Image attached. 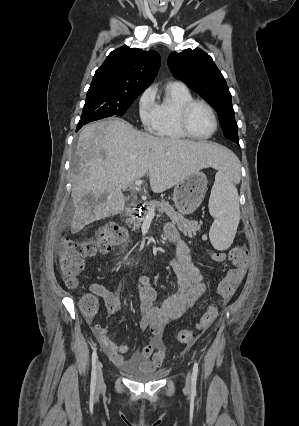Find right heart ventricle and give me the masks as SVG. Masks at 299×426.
Returning a JSON list of instances; mask_svg holds the SVG:
<instances>
[{"label": "right heart ventricle", "instance_id": "e07e8e85", "mask_svg": "<svg viewBox=\"0 0 299 426\" xmlns=\"http://www.w3.org/2000/svg\"><path fill=\"white\" fill-rule=\"evenodd\" d=\"M192 99L190 90L182 83L170 82L165 86L163 95L157 103L154 132L158 137L170 140L187 138L179 125V113L182 106Z\"/></svg>", "mask_w": 299, "mask_h": 426}]
</instances>
